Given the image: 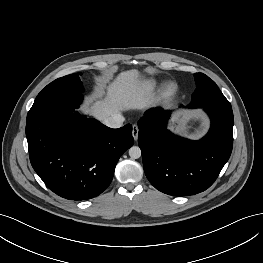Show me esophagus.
I'll return each instance as SVG.
<instances>
[{"mask_svg": "<svg viewBox=\"0 0 263 263\" xmlns=\"http://www.w3.org/2000/svg\"><path fill=\"white\" fill-rule=\"evenodd\" d=\"M138 133H139V128L136 124H134L132 126V136H133L135 141L138 139Z\"/></svg>", "mask_w": 263, "mask_h": 263, "instance_id": "1", "label": "esophagus"}]
</instances>
